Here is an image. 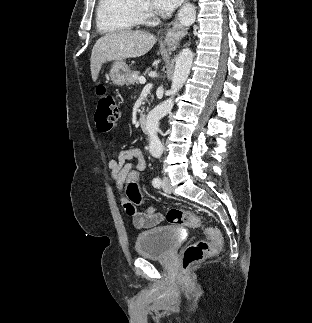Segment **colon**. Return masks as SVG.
Instances as JSON below:
<instances>
[{
  "label": "colon",
  "mask_w": 312,
  "mask_h": 323,
  "mask_svg": "<svg viewBox=\"0 0 312 323\" xmlns=\"http://www.w3.org/2000/svg\"><path fill=\"white\" fill-rule=\"evenodd\" d=\"M120 110L112 95H103L98 100V106L95 114V124L98 130L106 132L111 130L119 120ZM139 173L132 170L129 177L126 178L127 199L123 200L122 207L129 216L135 214V206L142 202L141 192L137 179ZM144 211H150V208H144ZM167 222L173 225H187L192 228L200 227V219L190 210L180 208H169L167 211ZM207 241H198L189 245L183 253V262L181 269H190L192 264L201 262L205 257L213 256L221 250L224 245L223 238L217 235L213 229H205Z\"/></svg>",
  "instance_id": "5ec220e1"
}]
</instances>
